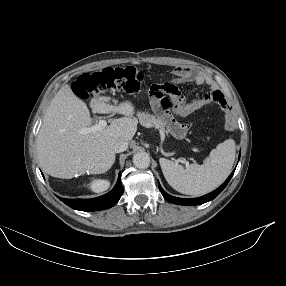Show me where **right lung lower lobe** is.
<instances>
[{"label":"right lung lower lobe","instance_id":"obj_1","mask_svg":"<svg viewBox=\"0 0 286 286\" xmlns=\"http://www.w3.org/2000/svg\"><path fill=\"white\" fill-rule=\"evenodd\" d=\"M122 193H123V187L119 176L114 189L103 196L93 199H64L61 197L58 198L61 201H63L66 205L75 210L98 211V210L108 209L114 206L119 201Z\"/></svg>","mask_w":286,"mask_h":286}]
</instances>
